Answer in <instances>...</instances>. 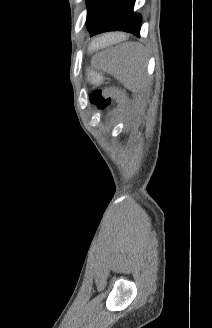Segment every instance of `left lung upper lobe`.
<instances>
[{"label":"left lung upper lobe","mask_w":212,"mask_h":328,"mask_svg":"<svg viewBox=\"0 0 212 328\" xmlns=\"http://www.w3.org/2000/svg\"><path fill=\"white\" fill-rule=\"evenodd\" d=\"M107 0H86L87 3V21L88 31L91 30Z\"/></svg>","instance_id":"1"}]
</instances>
